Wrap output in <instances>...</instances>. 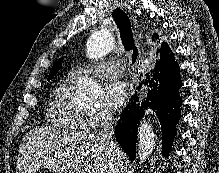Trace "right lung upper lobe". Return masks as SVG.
<instances>
[{
	"label": "right lung upper lobe",
	"instance_id": "right-lung-upper-lobe-1",
	"mask_svg": "<svg viewBox=\"0 0 219 173\" xmlns=\"http://www.w3.org/2000/svg\"><path fill=\"white\" fill-rule=\"evenodd\" d=\"M153 37L159 38V36H157V34H154ZM159 51H160V58H162V57H165L169 54L170 48L168 47V45L165 42H163L161 49Z\"/></svg>",
	"mask_w": 219,
	"mask_h": 173
}]
</instances>
